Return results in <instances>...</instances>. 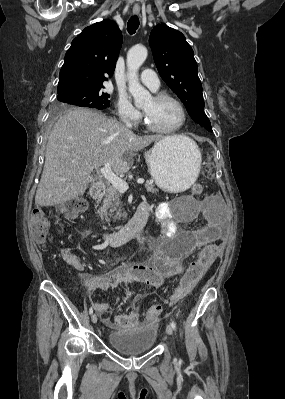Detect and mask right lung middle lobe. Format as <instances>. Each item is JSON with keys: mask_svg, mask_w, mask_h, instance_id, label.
<instances>
[{"mask_svg": "<svg viewBox=\"0 0 285 399\" xmlns=\"http://www.w3.org/2000/svg\"><path fill=\"white\" fill-rule=\"evenodd\" d=\"M109 94L101 91V88L75 89L59 93L57 96L56 110L61 111L71 105L107 109L110 105Z\"/></svg>", "mask_w": 285, "mask_h": 399, "instance_id": "1", "label": "right lung middle lobe"}]
</instances>
